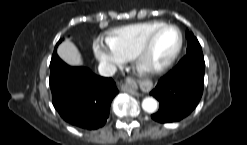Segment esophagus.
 Returning a JSON list of instances; mask_svg holds the SVG:
<instances>
[{
    "mask_svg": "<svg viewBox=\"0 0 247 145\" xmlns=\"http://www.w3.org/2000/svg\"><path fill=\"white\" fill-rule=\"evenodd\" d=\"M121 89L122 91L130 93L132 95L140 96V93L137 91L136 83L131 79H128V83L122 84Z\"/></svg>",
    "mask_w": 247,
    "mask_h": 145,
    "instance_id": "esophagus-1",
    "label": "esophagus"
}]
</instances>
